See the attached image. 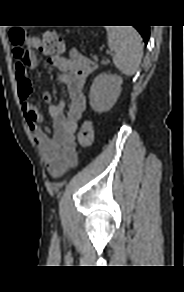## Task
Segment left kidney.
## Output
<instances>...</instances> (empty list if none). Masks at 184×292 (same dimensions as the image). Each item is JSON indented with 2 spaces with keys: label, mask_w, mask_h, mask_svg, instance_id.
<instances>
[{
  "label": "left kidney",
  "mask_w": 184,
  "mask_h": 292,
  "mask_svg": "<svg viewBox=\"0 0 184 292\" xmlns=\"http://www.w3.org/2000/svg\"><path fill=\"white\" fill-rule=\"evenodd\" d=\"M122 79L117 75L101 73L95 77L89 92V100L95 112L109 111L121 93Z\"/></svg>",
  "instance_id": "1"
}]
</instances>
